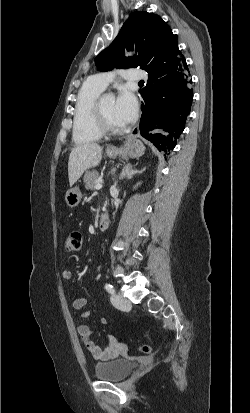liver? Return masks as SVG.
I'll return each instance as SVG.
<instances>
[{
    "label": "liver",
    "instance_id": "1",
    "mask_svg": "<svg viewBox=\"0 0 250 413\" xmlns=\"http://www.w3.org/2000/svg\"><path fill=\"white\" fill-rule=\"evenodd\" d=\"M103 148L93 142L76 145L69 155L68 177L72 186L88 168L96 167L102 159Z\"/></svg>",
    "mask_w": 250,
    "mask_h": 413
}]
</instances>
